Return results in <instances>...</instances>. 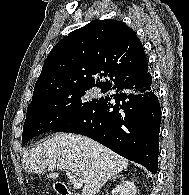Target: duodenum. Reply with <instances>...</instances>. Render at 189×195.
<instances>
[{
    "label": "duodenum",
    "mask_w": 189,
    "mask_h": 195,
    "mask_svg": "<svg viewBox=\"0 0 189 195\" xmlns=\"http://www.w3.org/2000/svg\"><path fill=\"white\" fill-rule=\"evenodd\" d=\"M55 189L59 195H78V194L68 191L66 187L62 183H59V182L55 184Z\"/></svg>",
    "instance_id": "duodenum-1"
}]
</instances>
